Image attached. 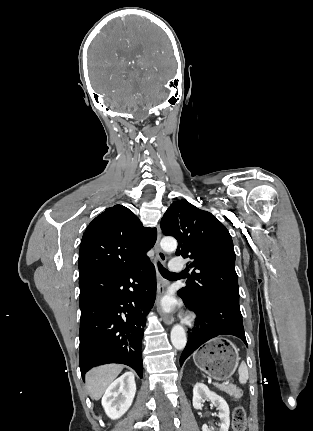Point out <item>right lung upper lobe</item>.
<instances>
[{"label": "right lung upper lobe", "mask_w": 313, "mask_h": 431, "mask_svg": "<svg viewBox=\"0 0 313 431\" xmlns=\"http://www.w3.org/2000/svg\"><path fill=\"white\" fill-rule=\"evenodd\" d=\"M157 238L155 228H146L122 205L107 208L91 221L80 246L79 279L131 270L149 258L146 253Z\"/></svg>", "instance_id": "1"}]
</instances>
